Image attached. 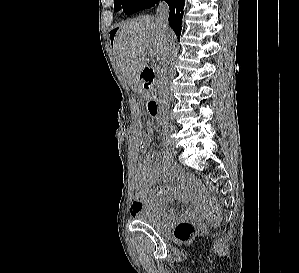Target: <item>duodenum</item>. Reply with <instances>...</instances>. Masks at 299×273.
<instances>
[{"label": "duodenum", "mask_w": 299, "mask_h": 273, "mask_svg": "<svg viewBox=\"0 0 299 273\" xmlns=\"http://www.w3.org/2000/svg\"><path fill=\"white\" fill-rule=\"evenodd\" d=\"M155 79L154 70L148 66L141 69L139 80L142 86V92L146 100V108L150 116L161 122V111L159 101L153 91V82Z\"/></svg>", "instance_id": "410a0bca"}]
</instances>
